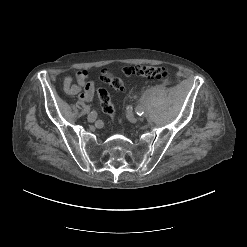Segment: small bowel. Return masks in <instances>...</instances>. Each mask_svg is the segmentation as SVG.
I'll list each match as a JSON object with an SVG mask.
<instances>
[{
    "mask_svg": "<svg viewBox=\"0 0 247 247\" xmlns=\"http://www.w3.org/2000/svg\"><path fill=\"white\" fill-rule=\"evenodd\" d=\"M89 74L86 70H80L76 73V82L70 76L63 80V87L67 94L78 95L82 101H90L94 96V83L88 80Z\"/></svg>",
    "mask_w": 247,
    "mask_h": 247,
    "instance_id": "c3829d8e",
    "label": "small bowel"
}]
</instances>
